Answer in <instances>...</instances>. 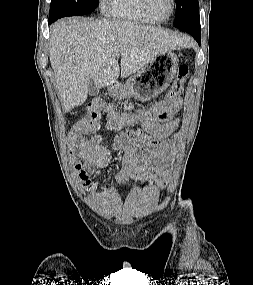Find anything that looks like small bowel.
Listing matches in <instances>:
<instances>
[{
	"label": "small bowel",
	"instance_id": "obj_1",
	"mask_svg": "<svg viewBox=\"0 0 253 285\" xmlns=\"http://www.w3.org/2000/svg\"><path fill=\"white\" fill-rule=\"evenodd\" d=\"M182 107V99L175 97L158 109L156 114H147L138 123L141 129L119 130L114 140V149L122 157V171L118 175L120 183L143 182L163 188L156 172L162 163L164 152L172 146L169 137L179 126V119L174 118Z\"/></svg>",
	"mask_w": 253,
	"mask_h": 285
}]
</instances>
